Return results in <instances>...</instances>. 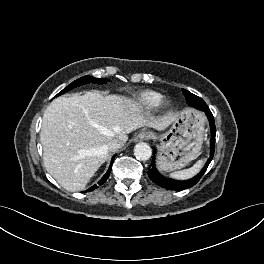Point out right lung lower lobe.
Listing matches in <instances>:
<instances>
[{
	"mask_svg": "<svg viewBox=\"0 0 264 264\" xmlns=\"http://www.w3.org/2000/svg\"><path fill=\"white\" fill-rule=\"evenodd\" d=\"M113 160H114V157L112 158L111 160V164H110V167L107 171V173L102 177V179L98 182V185H102L106 182L107 178L109 177V174L111 172V167H112V164H113ZM98 186L95 184L94 186H92L91 188H89L86 192H89V191H92L94 190L95 188H97Z\"/></svg>",
	"mask_w": 264,
	"mask_h": 264,
	"instance_id": "98d812e1",
	"label": "right lung lower lobe"
}]
</instances>
